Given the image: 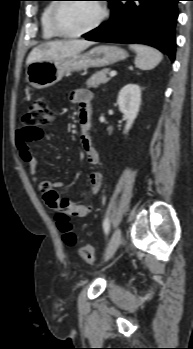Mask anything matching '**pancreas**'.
Segmentation results:
<instances>
[{"instance_id":"obj_1","label":"pancreas","mask_w":193,"mask_h":349,"mask_svg":"<svg viewBox=\"0 0 193 349\" xmlns=\"http://www.w3.org/2000/svg\"><path fill=\"white\" fill-rule=\"evenodd\" d=\"M110 69L105 68L99 72L94 73L87 81L86 85L88 88L91 87H98L100 84H105L109 81V78L107 77V74L109 73Z\"/></svg>"}]
</instances>
